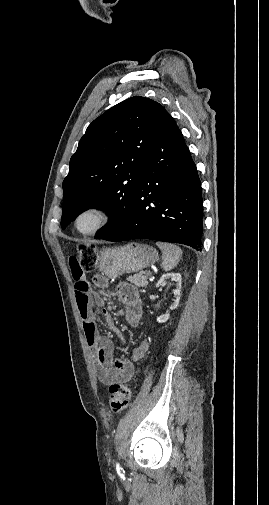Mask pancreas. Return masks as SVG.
I'll list each match as a JSON object with an SVG mask.
<instances>
[{"instance_id": "1", "label": "pancreas", "mask_w": 269, "mask_h": 505, "mask_svg": "<svg viewBox=\"0 0 269 505\" xmlns=\"http://www.w3.org/2000/svg\"><path fill=\"white\" fill-rule=\"evenodd\" d=\"M148 276L149 272H141L139 274H134L133 276H129L127 280L137 287H147L148 285Z\"/></svg>"}]
</instances>
